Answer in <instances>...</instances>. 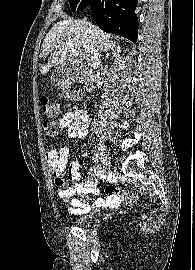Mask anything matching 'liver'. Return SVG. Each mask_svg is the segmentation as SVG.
Segmentation results:
<instances>
[{
    "label": "liver",
    "mask_w": 195,
    "mask_h": 270,
    "mask_svg": "<svg viewBox=\"0 0 195 270\" xmlns=\"http://www.w3.org/2000/svg\"><path fill=\"white\" fill-rule=\"evenodd\" d=\"M91 32L96 37L99 52L120 51V47L110 41L106 33L85 20L59 21L50 29L43 41L40 56L44 63L40 65V73L45 75L53 66L63 64L72 49L78 51L79 63L88 59L92 46Z\"/></svg>",
    "instance_id": "liver-1"
}]
</instances>
